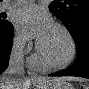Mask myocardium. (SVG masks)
I'll list each match as a JSON object with an SVG mask.
<instances>
[{
  "mask_svg": "<svg viewBox=\"0 0 89 89\" xmlns=\"http://www.w3.org/2000/svg\"><path fill=\"white\" fill-rule=\"evenodd\" d=\"M54 26L56 28L60 29L66 35V37L70 43L69 57L64 62H61V63L49 62L45 58L44 54L42 53L41 46H40L39 42L36 45V52H37V58L39 59V61L41 62V64L43 65L44 68L56 70V69H62V68L68 67L69 65L72 64V62L74 61L75 56H76L77 48H76V43L73 38V35L71 34V32L69 31V29L66 26H64L61 23H55Z\"/></svg>",
  "mask_w": 89,
  "mask_h": 89,
  "instance_id": "myocardium-1",
  "label": "myocardium"
}]
</instances>
